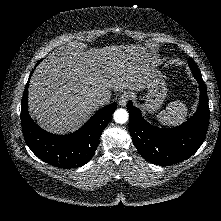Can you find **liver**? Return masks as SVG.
<instances>
[{
	"mask_svg": "<svg viewBox=\"0 0 221 221\" xmlns=\"http://www.w3.org/2000/svg\"><path fill=\"white\" fill-rule=\"evenodd\" d=\"M140 45L98 49L62 48L32 74L28 89L30 115L43 129L64 134L78 129L98 109L95 100L111 91H143L156 73Z\"/></svg>",
	"mask_w": 221,
	"mask_h": 221,
	"instance_id": "obj_1",
	"label": "liver"
}]
</instances>
